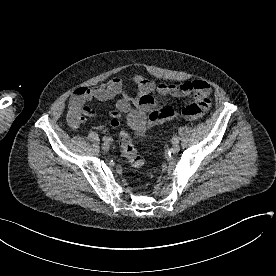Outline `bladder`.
Masks as SVG:
<instances>
[{"label":"bladder","mask_w":276,"mask_h":276,"mask_svg":"<svg viewBox=\"0 0 276 276\" xmlns=\"http://www.w3.org/2000/svg\"><path fill=\"white\" fill-rule=\"evenodd\" d=\"M127 124L136 136H142L147 125L146 115L139 112L133 113L128 117Z\"/></svg>","instance_id":"1"}]
</instances>
